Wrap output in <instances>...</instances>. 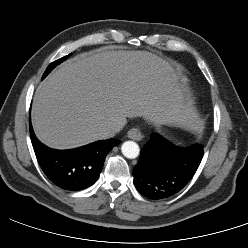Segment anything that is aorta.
I'll list each match as a JSON object with an SVG mask.
<instances>
[{"mask_svg":"<svg viewBox=\"0 0 248 248\" xmlns=\"http://www.w3.org/2000/svg\"><path fill=\"white\" fill-rule=\"evenodd\" d=\"M121 151L126 158L134 159L138 157L140 153V148L136 142L126 141L122 144Z\"/></svg>","mask_w":248,"mask_h":248,"instance_id":"obj_1","label":"aorta"}]
</instances>
